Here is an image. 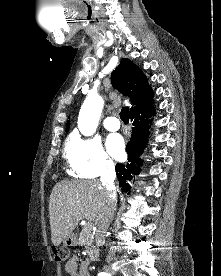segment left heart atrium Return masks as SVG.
I'll return each instance as SVG.
<instances>
[{
    "mask_svg": "<svg viewBox=\"0 0 221 276\" xmlns=\"http://www.w3.org/2000/svg\"><path fill=\"white\" fill-rule=\"evenodd\" d=\"M107 148L110 154L116 159L124 156V141L120 135H110L107 138Z\"/></svg>",
    "mask_w": 221,
    "mask_h": 276,
    "instance_id": "1",
    "label": "left heart atrium"
}]
</instances>
